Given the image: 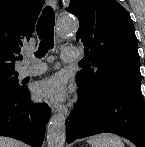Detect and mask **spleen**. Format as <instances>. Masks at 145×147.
<instances>
[{"instance_id": "obj_1", "label": "spleen", "mask_w": 145, "mask_h": 147, "mask_svg": "<svg viewBox=\"0 0 145 147\" xmlns=\"http://www.w3.org/2000/svg\"><path fill=\"white\" fill-rule=\"evenodd\" d=\"M91 147H124L120 137L113 134H99L89 139Z\"/></svg>"}]
</instances>
